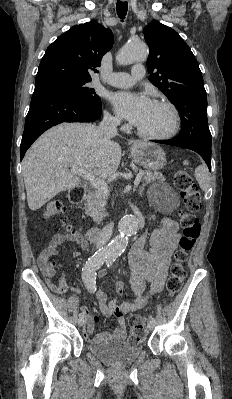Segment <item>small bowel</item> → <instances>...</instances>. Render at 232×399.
<instances>
[{"label": "small bowel", "instance_id": "c3829d8e", "mask_svg": "<svg viewBox=\"0 0 232 399\" xmlns=\"http://www.w3.org/2000/svg\"><path fill=\"white\" fill-rule=\"evenodd\" d=\"M180 239V232L177 224L172 220H164L161 223L160 228L153 232L150 236L145 234L134 238L132 247L128 254L129 264L131 266L130 279H131V290L134 295L132 302L118 303L117 300H111L107 302L106 295L103 291L98 290L97 298L100 302L102 314L104 316H111L113 314L118 316L119 329L115 332H101L95 333L94 324L98 322L99 317L89 310L87 306H82L81 311L86 317V321L79 324L78 329L82 335L87 338L92 345H101L106 339L111 344L117 345L120 343L123 337L126 336L128 328L124 321V316L128 311L141 309L145 306L150 305L146 299L141 297L144 289L142 283V277H146L151 282L152 294H158L162 292L167 271L171 259V255L176 248ZM146 243H150L151 250L144 252L143 247ZM81 250L89 247L87 242H81L79 244ZM50 254L57 256L60 254L58 244L52 242L50 245ZM80 251L76 250L72 252L74 259L80 258ZM101 277L114 276L110 269L104 268L99 272ZM117 281V293L123 296L125 293L124 284L116 278Z\"/></svg>", "mask_w": 232, "mask_h": 399}]
</instances>
